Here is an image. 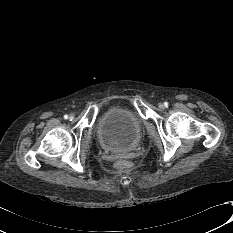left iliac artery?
Segmentation results:
<instances>
[{"mask_svg": "<svg viewBox=\"0 0 233 233\" xmlns=\"http://www.w3.org/2000/svg\"><path fill=\"white\" fill-rule=\"evenodd\" d=\"M164 105L167 107L168 106V102H165Z\"/></svg>", "mask_w": 233, "mask_h": 233, "instance_id": "obj_1", "label": "left iliac artery"}]
</instances>
